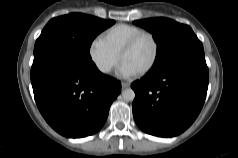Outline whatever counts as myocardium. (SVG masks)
I'll list each match as a JSON object with an SVG mask.
<instances>
[{"instance_id": "1", "label": "myocardium", "mask_w": 238, "mask_h": 158, "mask_svg": "<svg viewBox=\"0 0 238 158\" xmlns=\"http://www.w3.org/2000/svg\"><path fill=\"white\" fill-rule=\"evenodd\" d=\"M149 37L154 45V54L153 57L151 59V61L149 62V64L147 66H145L143 69L139 70L138 73L139 74H145L147 72H149L156 64L158 57H159V53H160V45L159 42L156 38V36L149 32V31H141L139 33H137L136 35H134L122 48L121 52H120V59L123 61V58L125 56V54H127L131 49L134 48V46L139 42V40L143 37Z\"/></svg>"}]
</instances>
